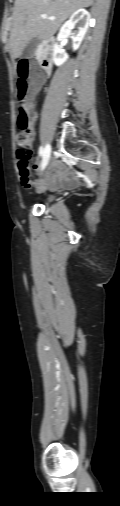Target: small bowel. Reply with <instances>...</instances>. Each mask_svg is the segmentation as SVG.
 Here are the masks:
<instances>
[{
  "mask_svg": "<svg viewBox=\"0 0 120 506\" xmlns=\"http://www.w3.org/2000/svg\"><path fill=\"white\" fill-rule=\"evenodd\" d=\"M44 84V76H40L39 78L32 77V88L30 90L31 100L37 96ZM31 116L32 121H35L36 115L33 111H31ZM33 169L38 171L40 169V164L35 163ZM20 183L23 188L29 189L35 187L38 191H43L46 188L71 189L76 186L77 181L76 178L65 169V166L61 162L53 160L44 178L33 181L29 174L27 176L20 175Z\"/></svg>",
  "mask_w": 120,
  "mask_h": 506,
  "instance_id": "small-bowel-1",
  "label": "small bowel"
}]
</instances>
